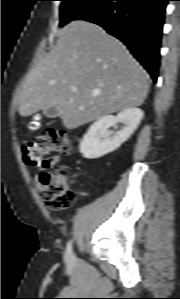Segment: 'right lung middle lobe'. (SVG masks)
<instances>
[{
    "instance_id": "dd1d6c3e",
    "label": "right lung middle lobe",
    "mask_w": 180,
    "mask_h": 299,
    "mask_svg": "<svg viewBox=\"0 0 180 299\" xmlns=\"http://www.w3.org/2000/svg\"><path fill=\"white\" fill-rule=\"evenodd\" d=\"M60 7L61 22L60 27L68 22L77 19L84 12L88 11L102 0H61Z\"/></svg>"
}]
</instances>
